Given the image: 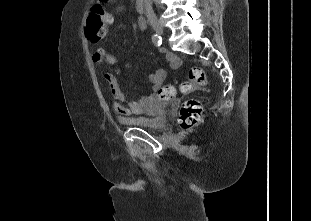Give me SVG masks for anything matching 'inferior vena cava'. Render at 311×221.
<instances>
[{
	"instance_id": "1",
	"label": "inferior vena cava",
	"mask_w": 311,
	"mask_h": 221,
	"mask_svg": "<svg viewBox=\"0 0 311 221\" xmlns=\"http://www.w3.org/2000/svg\"><path fill=\"white\" fill-rule=\"evenodd\" d=\"M144 2L147 16H149V14H153V16H155V12L152 8V0H144Z\"/></svg>"
}]
</instances>
